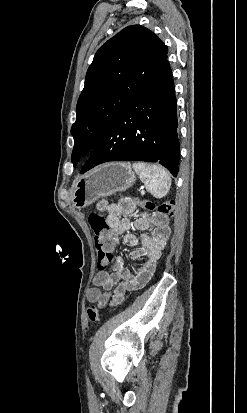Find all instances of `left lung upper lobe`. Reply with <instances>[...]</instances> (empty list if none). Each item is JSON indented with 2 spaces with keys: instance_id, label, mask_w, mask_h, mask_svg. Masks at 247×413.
Here are the masks:
<instances>
[{
  "instance_id": "1",
  "label": "left lung upper lobe",
  "mask_w": 247,
  "mask_h": 413,
  "mask_svg": "<svg viewBox=\"0 0 247 413\" xmlns=\"http://www.w3.org/2000/svg\"><path fill=\"white\" fill-rule=\"evenodd\" d=\"M168 47L140 25L124 28L97 51L78 99L72 162L92 151L167 58Z\"/></svg>"
}]
</instances>
